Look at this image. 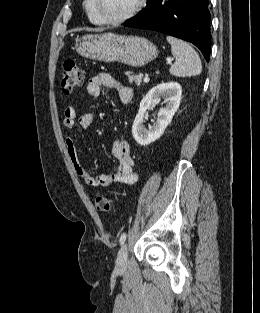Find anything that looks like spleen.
I'll return each mask as SVG.
<instances>
[{
    "instance_id": "spleen-1",
    "label": "spleen",
    "mask_w": 260,
    "mask_h": 313,
    "mask_svg": "<svg viewBox=\"0 0 260 313\" xmlns=\"http://www.w3.org/2000/svg\"><path fill=\"white\" fill-rule=\"evenodd\" d=\"M171 44L172 55L175 63L171 65L169 72L177 77H191L199 75L202 64L197 52L185 41L172 36L166 37Z\"/></svg>"
}]
</instances>
